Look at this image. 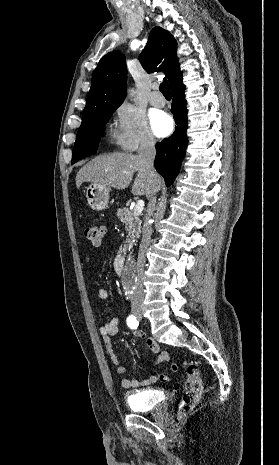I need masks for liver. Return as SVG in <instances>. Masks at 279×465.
Returning <instances> with one entry per match:
<instances>
[{"instance_id": "6515ba94", "label": "liver", "mask_w": 279, "mask_h": 465, "mask_svg": "<svg viewBox=\"0 0 279 465\" xmlns=\"http://www.w3.org/2000/svg\"><path fill=\"white\" fill-rule=\"evenodd\" d=\"M137 176L132 185L133 195H146L154 189L161 188V178L155 173L151 176L138 155L127 153H113L99 155L85 164L76 175V187L84 182L101 185L107 188L125 189Z\"/></svg>"}]
</instances>
